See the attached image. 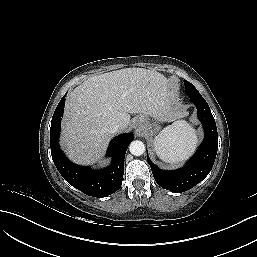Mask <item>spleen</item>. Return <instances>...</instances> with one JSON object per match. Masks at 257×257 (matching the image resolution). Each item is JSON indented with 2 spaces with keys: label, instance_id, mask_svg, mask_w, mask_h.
I'll list each match as a JSON object with an SVG mask.
<instances>
[{
  "label": "spleen",
  "instance_id": "1",
  "mask_svg": "<svg viewBox=\"0 0 257 257\" xmlns=\"http://www.w3.org/2000/svg\"><path fill=\"white\" fill-rule=\"evenodd\" d=\"M198 142L195 130L184 120L165 127L154 139L157 155L166 163L185 160Z\"/></svg>",
  "mask_w": 257,
  "mask_h": 257
}]
</instances>
